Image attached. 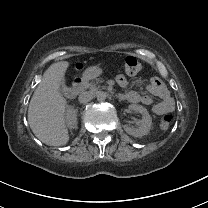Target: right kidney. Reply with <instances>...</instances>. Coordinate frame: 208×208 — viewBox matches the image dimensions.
<instances>
[{
	"label": "right kidney",
	"mask_w": 208,
	"mask_h": 208,
	"mask_svg": "<svg viewBox=\"0 0 208 208\" xmlns=\"http://www.w3.org/2000/svg\"><path fill=\"white\" fill-rule=\"evenodd\" d=\"M66 119H67V125L70 128H75V126H76V113L71 107H69L67 109Z\"/></svg>",
	"instance_id": "ca27d5eb"
}]
</instances>
